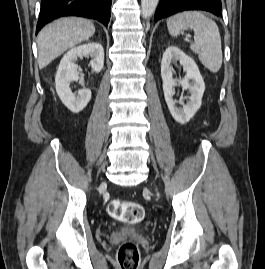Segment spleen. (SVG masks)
I'll return each mask as SVG.
<instances>
[{
    "mask_svg": "<svg viewBox=\"0 0 265 269\" xmlns=\"http://www.w3.org/2000/svg\"><path fill=\"white\" fill-rule=\"evenodd\" d=\"M171 36L177 37L181 31L192 29L194 43L190 49L198 54L201 63L212 73H217L222 65L221 37L217 24L200 11H184L167 19Z\"/></svg>",
    "mask_w": 265,
    "mask_h": 269,
    "instance_id": "3e777b00",
    "label": "spleen"
}]
</instances>
